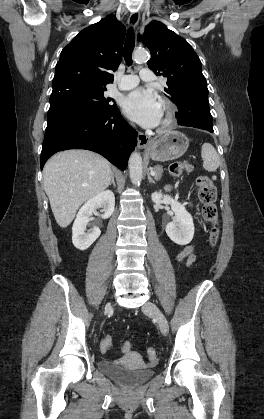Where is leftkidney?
Segmentation results:
<instances>
[{
  "label": "left kidney",
  "mask_w": 264,
  "mask_h": 419,
  "mask_svg": "<svg viewBox=\"0 0 264 419\" xmlns=\"http://www.w3.org/2000/svg\"><path fill=\"white\" fill-rule=\"evenodd\" d=\"M151 198L156 204H170L175 213V219L166 226L168 237L178 245L190 243L194 236V223L185 207L171 196L163 195L161 192H154Z\"/></svg>",
  "instance_id": "left-kidney-1"
}]
</instances>
